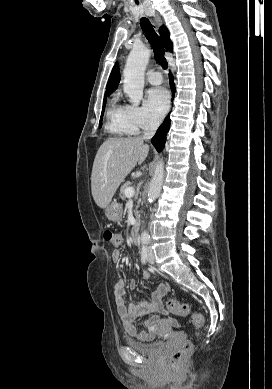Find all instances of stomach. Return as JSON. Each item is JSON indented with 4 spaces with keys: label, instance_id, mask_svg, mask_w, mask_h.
Instances as JSON below:
<instances>
[{
    "label": "stomach",
    "instance_id": "0dacf381",
    "mask_svg": "<svg viewBox=\"0 0 272 389\" xmlns=\"http://www.w3.org/2000/svg\"><path fill=\"white\" fill-rule=\"evenodd\" d=\"M122 213V205L116 200L111 201L105 209V215L111 221L120 220L122 217Z\"/></svg>",
    "mask_w": 272,
    "mask_h": 389
}]
</instances>
